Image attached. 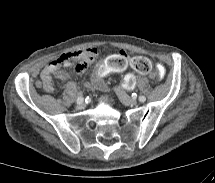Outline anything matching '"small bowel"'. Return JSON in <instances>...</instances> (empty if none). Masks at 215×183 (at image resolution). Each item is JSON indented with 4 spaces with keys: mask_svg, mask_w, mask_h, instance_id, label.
<instances>
[{
    "mask_svg": "<svg viewBox=\"0 0 215 183\" xmlns=\"http://www.w3.org/2000/svg\"><path fill=\"white\" fill-rule=\"evenodd\" d=\"M72 54L87 57L86 65L76 69L78 73H84L95 62L99 53L96 48L90 47ZM59 58L54 59L41 73L40 84L48 93H52L55 90L53 77L61 80L67 79V74L61 69L59 64ZM126 66L133 75H146L152 69V60L146 54H133L129 57L124 51L115 52L108 58H103L99 61L92 81L93 87L100 92H105L107 88L103 82L102 74L110 75L114 71H120Z\"/></svg>",
    "mask_w": 215,
    "mask_h": 183,
    "instance_id": "small-bowel-1",
    "label": "small bowel"
}]
</instances>
